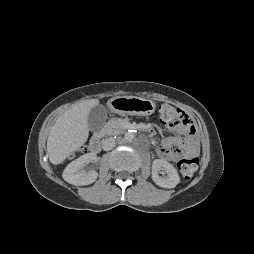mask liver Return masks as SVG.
<instances>
[{
    "label": "liver",
    "instance_id": "obj_1",
    "mask_svg": "<svg viewBox=\"0 0 254 254\" xmlns=\"http://www.w3.org/2000/svg\"><path fill=\"white\" fill-rule=\"evenodd\" d=\"M97 105L98 99L80 103L56 120L47 140V155L52 164L62 163L86 142L89 135L87 118L91 109Z\"/></svg>",
    "mask_w": 254,
    "mask_h": 254
}]
</instances>
